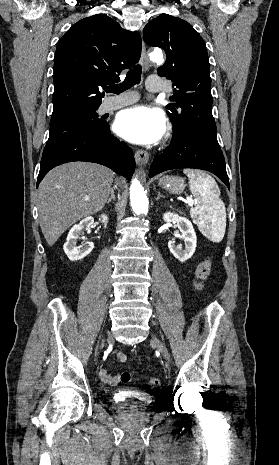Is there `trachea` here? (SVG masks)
Wrapping results in <instances>:
<instances>
[{"mask_svg":"<svg viewBox=\"0 0 279 465\" xmlns=\"http://www.w3.org/2000/svg\"><path fill=\"white\" fill-rule=\"evenodd\" d=\"M141 74H142L141 66L136 65L135 67H133L132 69L128 71L126 78L122 83L120 84L111 83L109 84V87H107L105 90L106 92H112L115 94H119L131 88L132 86L139 84L141 80Z\"/></svg>","mask_w":279,"mask_h":465,"instance_id":"obj_1","label":"trachea"}]
</instances>
